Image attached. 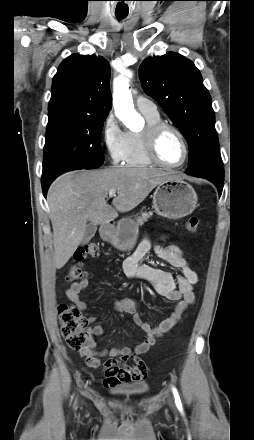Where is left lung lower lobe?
<instances>
[{"mask_svg": "<svg viewBox=\"0 0 254 440\" xmlns=\"http://www.w3.org/2000/svg\"><path fill=\"white\" fill-rule=\"evenodd\" d=\"M223 181H224V180H223ZM223 181H219V180L213 179V182H214L215 185L217 186V188H218L220 194H221L222 189H223Z\"/></svg>", "mask_w": 254, "mask_h": 440, "instance_id": "0a47b994", "label": "left lung lower lobe"}]
</instances>
